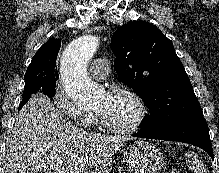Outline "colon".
I'll return each mask as SVG.
<instances>
[{"mask_svg":"<svg viewBox=\"0 0 219 173\" xmlns=\"http://www.w3.org/2000/svg\"><path fill=\"white\" fill-rule=\"evenodd\" d=\"M171 173H182V172L173 170Z\"/></svg>","mask_w":219,"mask_h":173,"instance_id":"obj_1","label":"colon"}]
</instances>
